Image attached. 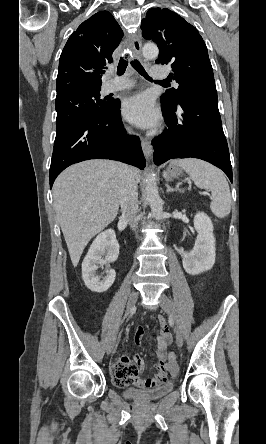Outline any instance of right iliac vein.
<instances>
[{
  "mask_svg": "<svg viewBox=\"0 0 266 444\" xmlns=\"http://www.w3.org/2000/svg\"><path fill=\"white\" fill-rule=\"evenodd\" d=\"M138 300V292L132 291L129 295L128 302H127V310H126V316L129 314V312L132 310L134 305L136 304ZM118 338V331L114 334V336L111 338L108 346H107V355H110L113 351V348L117 342Z\"/></svg>",
  "mask_w": 266,
  "mask_h": 444,
  "instance_id": "1",
  "label": "right iliac vein"
}]
</instances>
